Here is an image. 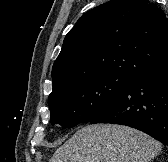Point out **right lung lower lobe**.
Returning a JSON list of instances; mask_svg holds the SVG:
<instances>
[{"label":"right lung lower lobe","mask_w":168,"mask_h":162,"mask_svg":"<svg viewBox=\"0 0 168 162\" xmlns=\"http://www.w3.org/2000/svg\"><path fill=\"white\" fill-rule=\"evenodd\" d=\"M90 123L130 126L168 145V62L132 77Z\"/></svg>","instance_id":"98d812e1"}]
</instances>
